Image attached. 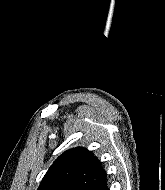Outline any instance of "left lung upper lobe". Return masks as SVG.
I'll use <instances>...</instances> for the list:
<instances>
[{
  "mask_svg": "<svg viewBox=\"0 0 165 190\" xmlns=\"http://www.w3.org/2000/svg\"><path fill=\"white\" fill-rule=\"evenodd\" d=\"M106 172L91 151L73 148L52 164L38 190H102Z\"/></svg>",
  "mask_w": 165,
  "mask_h": 190,
  "instance_id": "5c2ea615",
  "label": "left lung upper lobe"
}]
</instances>
